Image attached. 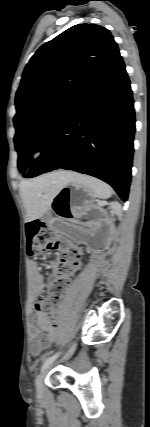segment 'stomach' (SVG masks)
I'll use <instances>...</instances> for the list:
<instances>
[{
	"instance_id": "1",
	"label": "stomach",
	"mask_w": 150,
	"mask_h": 427,
	"mask_svg": "<svg viewBox=\"0 0 150 427\" xmlns=\"http://www.w3.org/2000/svg\"><path fill=\"white\" fill-rule=\"evenodd\" d=\"M95 193L75 180L63 186L54 196L51 210L64 220L75 222L86 214L95 200Z\"/></svg>"
}]
</instances>
